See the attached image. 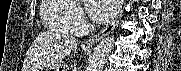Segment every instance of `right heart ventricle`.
Wrapping results in <instances>:
<instances>
[{
	"instance_id": "obj_1",
	"label": "right heart ventricle",
	"mask_w": 181,
	"mask_h": 71,
	"mask_svg": "<svg viewBox=\"0 0 181 71\" xmlns=\"http://www.w3.org/2000/svg\"><path fill=\"white\" fill-rule=\"evenodd\" d=\"M74 4L63 0H45L41 7L42 21L47 28L69 35H76L78 31L69 22Z\"/></svg>"
}]
</instances>
